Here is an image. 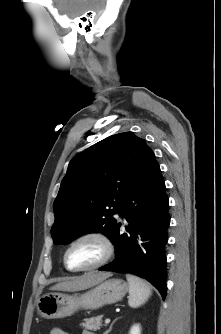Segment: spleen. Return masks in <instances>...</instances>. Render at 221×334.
Wrapping results in <instances>:
<instances>
[{"label": "spleen", "mask_w": 221, "mask_h": 334, "mask_svg": "<svg viewBox=\"0 0 221 334\" xmlns=\"http://www.w3.org/2000/svg\"><path fill=\"white\" fill-rule=\"evenodd\" d=\"M126 279L129 284V306L137 308L143 305L152 294L150 286L143 279L132 274H127Z\"/></svg>", "instance_id": "3e777b00"}]
</instances>
